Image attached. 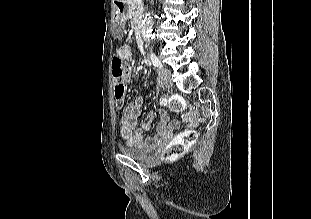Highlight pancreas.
<instances>
[{"label":"pancreas","mask_w":311,"mask_h":219,"mask_svg":"<svg viewBox=\"0 0 311 219\" xmlns=\"http://www.w3.org/2000/svg\"><path fill=\"white\" fill-rule=\"evenodd\" d=\"M128 17L131 20V25L133 29L142 26L143 17V6L142 4H137L135 0H129V10Z\"/></svg>","instance_id":"pancreas-1"}]
</instances>
